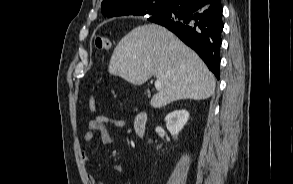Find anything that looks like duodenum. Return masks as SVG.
<instances>
[{
  "label": "duodenum",
  "instance_id": "1",
  "mask_svg": "<svg viewBox=\"0 0 293 184\" xmlns=\"http://www.w3.org/2000/svg\"><path fill=\"white\" fill-rule=\"evenodd\" d=\"M148 123V114L144 111L136 114L133 121V129L138 137H142L145 134Z\"/></svg>",
  "mask_w": 293,
  "mask_h": 184
}]
</instances>
